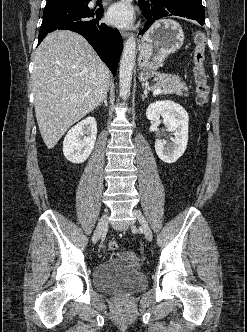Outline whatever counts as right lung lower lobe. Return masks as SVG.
Wrapping results in <instances>:
<instances>
[{"label": "right lung lower lobe", "mask_w": 247, "mask_h": 332, "mask_svg": "<svg viewBox=\"0 0 247 332\" xmlns=\"http://www.w3.org/2000/svg\"><path fill=\"white\" fill-rule=\"evenodd\" d=\"M86 2H57L46 4L39 31L38 44L55 30H71L84 36L99 57L116 74L123 41L118 30L100 23L103 10H90Z\"/></svg>", "instance_id": "obj_1"}]
</instances>
